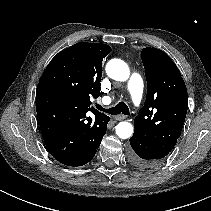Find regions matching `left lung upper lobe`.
Returning a JSON list of instances; mask_svg holds the SVG:
<instances>
[{
	"label": "left lung upper lobe",
	"mask_w": 211,
	"mask_h": 211,
	"mask_svg": "<svg viewBox=\"0 0 211 211\" xmlns=\"http://www.w3.org/2000/svg\"><path fill=\"white\" fill-rule=\"evenodd\" d=\"M141 56L147 96L134 120L135 130L171 152L187 114V89L179 69L166 53L148 47Z\"/></svg>",
	"instance_id": "left-lung-upper-lobe-1"
}]
</instances>
